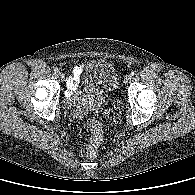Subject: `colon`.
<instances>
[{
  "instance_id": "colon-1",
  "label": "colon",
  "mask_w": 195,
  "mask_h": 195,
  "mask_svg": "<svg viewBox=\"0 0 195 195\" xmlns=\"http://www.w3.org/2000/svg\"><path fill=\"white\" fill-rule=\"evenodd\" d=\"M89 130L91 136L86 149V156L94 158L102 141V124L96 118H92L89 121Z\"/></svg>"
}]
</instances>
